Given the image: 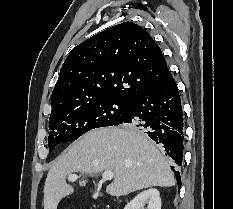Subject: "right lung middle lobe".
Returning a JSON list of instances; mask_svg holds the SVG:
<instances>
[{
    "instance_id": "obj_1",
    "label": "right lung middle lobe",
    "mask_w": 233,
    "mask_h": 209,
    "mask_svg": "<svg viewBox=\"0 0 233 209\" xmlns=\"http://www.w3.org/2000/svg\"><path fill=\"white\" fill-rule=\"evenodd\" d=\"M130 102L109 98L66 112L52 113L49 118V152L58 144L74 141L91 129L121 122L127 115Z\"/></svg>"
}]
</instances>
